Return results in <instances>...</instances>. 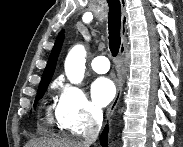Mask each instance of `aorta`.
I'll return each instance as SVG.
<instances>
[{
  "instance_id": "aorta-1",
  "label": "aorta",
  "mask_w": 183,
  "mask_h": 147,
  "mask_svg": "<svg viewBox=\"0 0 183 147\" xmlns=\"http://www.w3.org/2000/svg\"><path fill=\"white\" fill-rule=\"evenodd\" d=\"M86 50L83 45L74 46L65 60V74L72 84H80L84 78Z\"/></svg>"
}]
</instances>
